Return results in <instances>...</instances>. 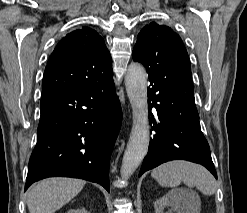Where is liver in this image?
<instances>
[{
	"label": "liver",
	"mask_w": 247,
	"mask_h": 213,
	"mask_svg": "<svg viewBox=\"0 0 247 213\" xmlns=\"http://www.w3.org/2000/svg\"><path fill=\"white\" fill-rule=\"evenodd\" d=\"M84 180L74 178H48L30 187L27 206L30 213H54L84 187Z\"/></svg>",
	"instance_id": "liver-1"
}]
</instances>
